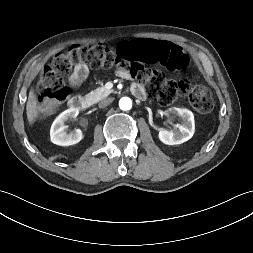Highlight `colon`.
<instances>
[{
    "instance_id": "1",
    "label": "colon",
    "mask_w": 253,
    "mask_h": 253,
    "mask_svg": "<svg viewBox=\"0 0 253 253\" xmlns=\"http://www.w3.org/2000/svg\"><path fill=\"white\" fill-rule=\"evenodd\" d=\"M77 64L92 68L118 66L144 84L150 96L163 105L186 96L190 105L200 113H207L213 108L211 92L194 77L169 79L160 71L139 65L161 67L178 74H185L191 68L190 56L182 47L147 37L140 41L125 40L116 49L104 45H81L56 54L44 68L39 80L38 104L41 115L52 113L67 98L64 77Z\"/></svg>"
}]
</instances>
